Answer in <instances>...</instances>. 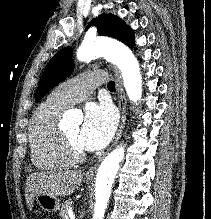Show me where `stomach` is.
I'll return each mask as SVG.
<instances>
[{
    "label": "stomach",
    "mask_w": 211,
    "mask_h": 219,
    "mask_svg": "<svg viewBox=\"0 0 211 219\" xmlns=\"http://www.w3.org/2000/svg\"><path fill=\"white\" fill-rule=\"evenodd\" d=\"M34 199L37 205L44 211L54 213L60 209V201L55 196L49 194H38Z\"/></svg>",
    "instance_id": "1"
}]
</instances>
